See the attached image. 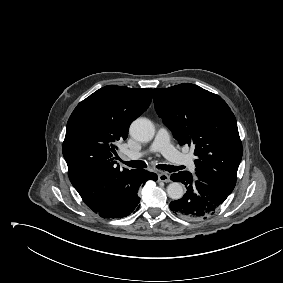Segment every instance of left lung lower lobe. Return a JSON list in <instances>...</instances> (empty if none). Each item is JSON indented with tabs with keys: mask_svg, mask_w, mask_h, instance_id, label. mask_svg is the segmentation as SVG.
I'll list each match as a JSON object with an SVG mask.
<instances>
[{
	"mask_svg": "<svg viewBox=\"0 0 283 283\" xmlns=\"http://www.w3.org/2000/svg\"><path fill=\"white\" fill-rule=\"evenodd\" d=\"M171 180L183 183L186 194L170 203V209L177 216L187 220H201L213 215L226 200L223 190L199 180H193L189 172L180 171L171 175Z\"/></svg>",
	"mask_w": 283,
	"mask_h": 283,
	"instance_id": "left-lung-lower-lobe-1",
	"label": "left lung lower lobe"
}]
</instances>
